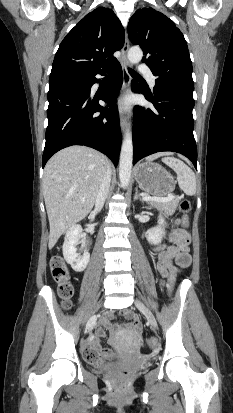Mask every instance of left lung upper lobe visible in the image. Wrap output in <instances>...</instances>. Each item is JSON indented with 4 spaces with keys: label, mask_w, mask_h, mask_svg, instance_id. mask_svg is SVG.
Listing matches in <instances>:
<instances>
[{
    "label": "left lung upper lobe",
    "mask_w": 233,
    "mask_h": 413,
    "mask_svg": "<svg viewBox=\"0 0 233 413\" xmlns=\"http://www.w3.org/2000/svg\"><path fill=\"white\" fill-rule=\"evenodd\" d=\"M130 41L143 50L156 80L194 90L192 64L186 40L172 20L152 8L137 10L128 24Z\"/></svg>",
    "instance_id": "5c2ea615"
}]
</instances>
